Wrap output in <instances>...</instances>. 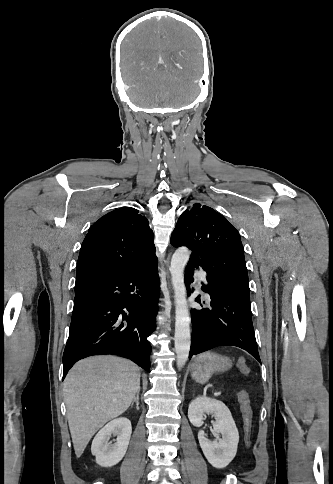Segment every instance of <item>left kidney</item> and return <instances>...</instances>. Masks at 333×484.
<instances>
[{
  "instance_id": "1",
  "label": "left kidney",
  "mask_w": 333,
  "mask_h": 484,
  "mask_svg": "<svg viewBox=\"0 0 333 484\" xmlns=\"http://www.w3.org/2000/svg\"><path fill=\"white\" fill-rule=\"evenodd\" d=\"M212 414L216 423L213 428L221 433L219 442L210 441L206 438L203 430L198 432V440L204 456L215 468L226 467L235 457L239 442V433L231 412L224 403L209 397H197L188 409V418L195 427L203 425L204 415Z\"/></svg>"
}]
</instances>
